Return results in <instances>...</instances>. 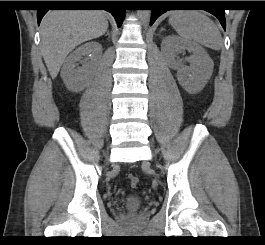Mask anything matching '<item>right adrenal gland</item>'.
<instances>
[{"label": "right adrenal gland", "instance_id": "1", "mask_svg": "<svg viewBox=\"0 0 265 245\" xmlns=\"http://www.w3.org/2000/svg\"><path fill=\"white\" fill-rule=\"evenodd\" d=\"M106 35H108L109 37H110V33H109V31L107 32V34Z\"/></svg>", "mask_w": 265, "mask_h": 245}]
</instances>
